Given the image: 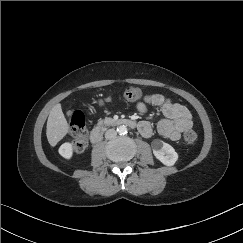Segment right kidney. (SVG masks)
Returning <instances> with one entry per match:
<instances>
[{
	"instance_id": "1",
	"label": "right kidney",
	"mask_w": 243,
	"mask_h": 243,
	"mask_svg": "<svg viewBox=\"0 0 243 243\" xmlns=\"http://www.w3.org/2000/svg\"><path fill=\"white\" fill-rule=\"evenodd\" d=\"M59 154L65 159H71L73 156L72 144L69 142L62 144L59 148Z\"/></svg>"
}]
</instances>
